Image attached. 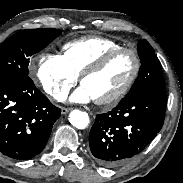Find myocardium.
<instances>
[{
	"label": "myocardium",
	"mask_w": 183,
	"mask_h": 183,
	"mask_svg": "<svg viewBox=\"0 0 183 183\" xmlns=\"http://www.w3.org/2000/svg\"><path fill=\"white\" fill-rule=\"evenodd\" d=\"M124 52L131 54L134 59V68H133V71H132L128 81L120 90H118L114 94H112L106 98H103V99H94V102L96 104H99V105L115 104L116 102L121 100L130 91V89L134 85V83L139 75V72H140V68H141L140 56L135 49L128 48V47H118V48H115V49L107 52L106 54H104L96 62L91 64L88 68H86L81 73L80 83L82 84L85 78L101 71L112 61V59L114 57H116L118 54L124 53Z\"/></svg>",
	"instance_id": "obj_1"
}]
</instances>
